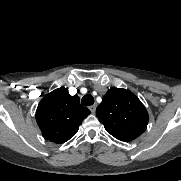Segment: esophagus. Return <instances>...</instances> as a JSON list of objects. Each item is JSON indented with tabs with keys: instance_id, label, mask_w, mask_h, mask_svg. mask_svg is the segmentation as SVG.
Returning <instances> with one entry per match:
<instances>
[{
	"instance_id": "34e87169",
	"label": "esophagus",
	"mask_w": 181,
	"mask_h": 181,
	"mask_svg": "<svg viewBox=\"0 0 181 181\" xmlns=\"http://www.w3.org/2000/svg\"><path fill=\"white\" fill-rule=\"evenodd\" d=\"M96 107H97V105L94 104V105H91V106L89 107V109H90V111H91L92 113H95Z\"/></svg>"
}]
</instances>
